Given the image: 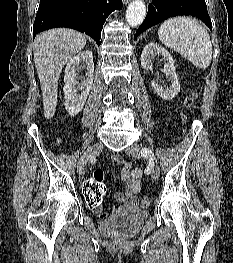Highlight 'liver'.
<instances>
[{
	"mask_svg": "<svg viewBox=\"0 0 233 263\" xmlns=\"http://www.w3.org/2000/svg\"><path fill=\"white\" fill-rule=\"evenodd\" d=\"M86 42L85 35L68 28L51 29L35 38L34 62L42 91L45 118L50 119L55 114L62 68L85 47Z\"/></svg>",
	"mask_w": 233,
	"mask_h": 263,
	"instance_id": "obj_1",
	"label": "liver"
}]
</instances>
